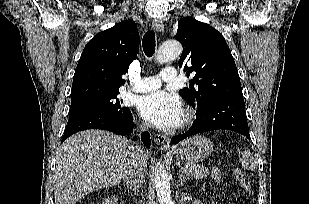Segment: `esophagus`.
<instances>
[{"mask_svg":"<svg viewBox=\"0 0 309 204\" xmlns=\"http://www.w3.org/2000/svg\"><path fill=\"white\" fill-rule=\"evenodd\" d=\"M152 27L155 31L161 32L164 29V24L162 20L154 19L152 21ZM154 141L161 149L168 150L170 148V139L165 135L155 134Z\"/></svg>","mask_w":309,"mask_h":204,"instance_id":"34e87169","label":"esophagus"}]
</instances>
